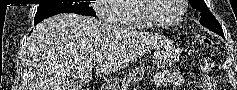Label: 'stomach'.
Returning a JSON list of instances; mask_svg holds the SVG:
<instances>
[{
	"label": "stomach",
	"instance_id": "stomach-1",
	"mask_svg": "<svg viewBox=\"0 0 237 90\" xmlns=\"http://www.w3.org/2000/svg\"><path fill=\"white\" fill-rule=\"evenodd\" d=\"M179 57V53L175 49H168L163 53H156V64L161 68L173 65Z\"/></svg>",
	"mask_w": 237,
	"mask_h": 90
}]
</instances>
